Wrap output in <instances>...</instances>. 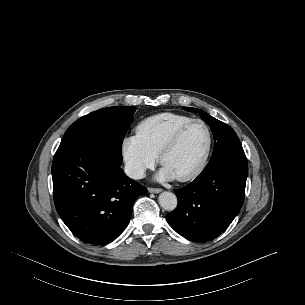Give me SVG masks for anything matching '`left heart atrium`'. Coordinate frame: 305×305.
<instances>
[{
	"instance_id": "obj_1",
	"label": "left heart atrium",
	"mask_w": 305,
	"mask_h": 305,
	"mask_svg": "<svg viewBox=\"0 0 305 305\" xmlns=\"http://www.w3.org/2000/svg\"><path fill=\"white\" fill-rule=\"evenodd\" d=\"M159 178L162 180H171L175 178V175L166 167H163L159 173Z\"/></svg>"
}]
</instances>
